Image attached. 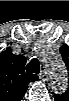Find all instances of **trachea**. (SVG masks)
<instances>
[{
    "label": "trachea",
    "instance_id": "3493384b",
    "mask_svg": "<svg viewBox=\"0 0 69 101\" xmlns=\"http://www.w3.org/2000/svg\"><path fill=\"white\" fill-rule=\"evenodd\" d=\"M26 71L29 73H40V64L37 58H33L26 66Z\"/></svg>",
    "mask_w": 69,
    "mask_h": 101
}]
</instances>
